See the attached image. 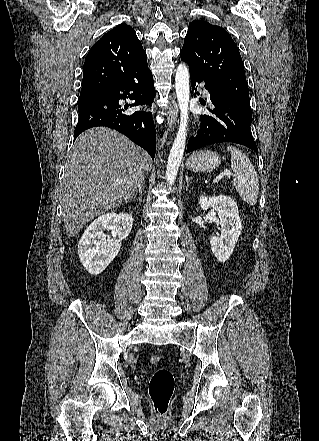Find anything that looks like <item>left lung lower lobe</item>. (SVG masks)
<instances>
[{
	"label": "left lung lower lobe",
	"mask_w": 319,
	"mask_h": 441,
	"mask_svg": "<svg viewBox=\"0 0 319 441\" xmlns=\"http://www.w3.org/2000/svg\"><path fill=\"white\" fill-rule=\"evenodd\" d=\"M191 85L195 89L197 82H204L210 93V102L213 110L208 108L212 115H201V128L196 136L188 142L186 153L199 148L223 142H232L244 145L256 152L258 149L251 133V109L224 93L219 87L205 82L200 76L190 73ZM191 94L196 96L195 92ZM205 105V102L203 103Z\"/></svg>",
	"instance_id": "obj_1"
}]
</instances>
